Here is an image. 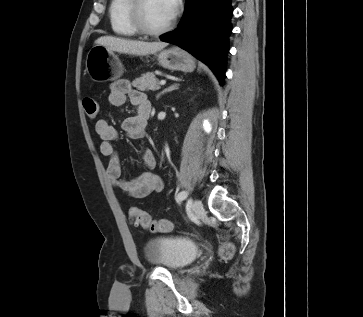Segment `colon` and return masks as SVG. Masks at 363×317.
I'll use <instances>...</instances> for the list:
<instances>
[{
	"label": "colon",
	"mask_w": 363,
	"mask_h": 317,
	"mask_svg": "<svg viewBox=\"0 0 363 317\" xmlns=\"http://www.w3.org/2000/svg\"><path fill=\"white\" fill-rule=\"evenodd\" d=\"M83 108L87 117L94 120L99 111L98 102L92 97H86L83 100ZM129 217L131 221L154 233L168 232L173 229V223L168 219H153L147 212L137 208L131 207L129 210ZM234 253V246L228 240H224L219 248V254L224 259H230Z\"/></svg>",
	"instance_id": "colon-1"
}]
</instances>
